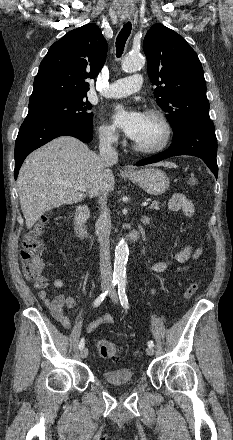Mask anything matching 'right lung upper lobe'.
Masks as SVG:
<instances>
[{"label": "right lung upper lobe", "mask_w": 233, "mask_h": 440, "mask_svg": "<svg viewBox=\"0 0 233 440\" xmlns=\"http://www.w3.org/2000/svg\"><path fill=\"white\" fill-rule=\"evenodd\" d=\"M107 42L95 24L67 33L48 50L39 66L29 104L54 98L87 96V78H95L104 65Z\"/></svg>", "instance_id": "obj_1"}]
</instances>
